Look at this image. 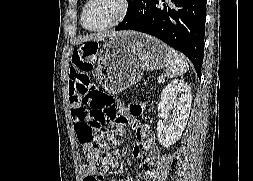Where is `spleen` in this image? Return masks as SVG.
Returning a JSON list of instances; mask_svg holds the SVG:
<instances>
[{
	"mask_svg": "<svg viewBox=\"0 0 253 181\" xmlns=\"http://www.w3.org/2000/svg\"><path fill=\"white\" fill-rule=\"evenodd\" d=\"M189 69L186 58L176 50L166 46V75L174 78L186 73Z\"/></svg>",
	"mask_w": 253,
	"mask_h": 181,
	"instance_id": "1",
	"label": "spleen"
}]
</instances>
